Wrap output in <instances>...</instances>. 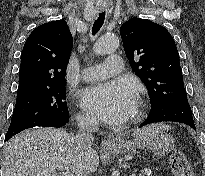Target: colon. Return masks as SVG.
<instances>
[{"label": "colon", "mask_w": 205, "mask_h": 176, "mask_svg": "<svg viewBox=\"0 0 205 176\" xmlns=\"http://www.w3.org/2000/svg\"><path fill=\"white\" fill-rule=\"evenodd\" d=\"M170 167L174 176H195L189 161L180 150L172 154Z\"/></svg>", "instance_id": "colon-1"}]
</instances>
